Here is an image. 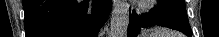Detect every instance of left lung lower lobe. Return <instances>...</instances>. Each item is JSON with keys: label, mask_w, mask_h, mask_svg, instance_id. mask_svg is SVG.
<instances>
[{"label": "left lung lower lobe", "mask_w": 219, "mask_h": 37, "mask_svg": "<svg viewBox=\"0 0 219 37\" xmlns=\"http://www.w3.org/2000/svg\"><path fill=\"white\" fill-rule=\"evenodd\" d=\"M155 25L175 29L189 37L192 36V30L190 26H187L184 23H182L172 13L161 10L157 7L153 9V11L146 14H142L140 16L137 15L134 11H132V13H130L127 37H137L142 28Z\"/></svg>", "instance_id": "obj_1"}]
</instances>
